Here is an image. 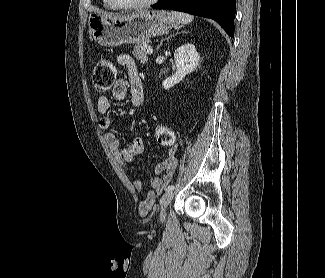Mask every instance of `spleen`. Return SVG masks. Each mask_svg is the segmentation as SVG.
Instances as JSON below:
<instances>
[{"instance_id": "1", "label": "spleen", "mask_w": 325, "mask_h": 278, "mask_svg": "<svg viewBox=\"0 0 325 278\" xmlns=\"http://www.w3.org/2000/svg\"><path fill=\"white\" fill-rule=\"evenodd\" d=\"M171 14L177 18V20L184 24L187 25L189 23H191L194 19V17L192 15L186 14V13H182V12H176V11H172Z\"/></svg>"}]
</instances>
